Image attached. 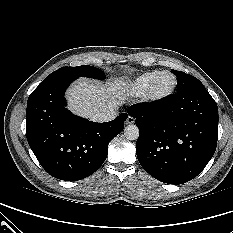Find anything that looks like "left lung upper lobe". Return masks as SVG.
I'll list each match as a JSON object with an SVG mask.
<instances>
[{
    "label": "left lung upper lobe",
    "instance_id": "5c2ea615",
    "mask_svg": "<svg viewBox=\"0 0 233 233\" xmlns=\"http://www.w3.org/2000/svg\"><path fill=\"white\" fill-rule=\"evenodd\" d=\"M171 72L177 76V93L185 92L195 87H203V84L192 75L177 70H171Z\"/></svg>",
    "mask_w": 233,
    "mask_h": 233
}]
</instances>
